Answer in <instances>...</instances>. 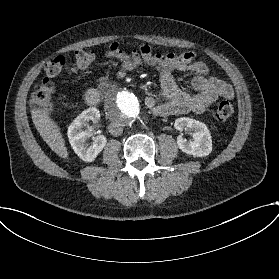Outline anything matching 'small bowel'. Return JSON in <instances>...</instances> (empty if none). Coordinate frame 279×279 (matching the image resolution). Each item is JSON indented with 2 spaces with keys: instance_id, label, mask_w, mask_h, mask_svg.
Returning a JSON list of instances; mask_svg holds the SVG:
<instances>
[{
  "instance_id": "1",
  "label": "small bowel",
  "mask_w": 279,
  "mask_h": 279,
  "mask_svg": "<svg viewBox=\"0 0 279 279\" xmlns=\"http://www.w3.org/2000/svg\"><path fill=\"white\" fill-rule=\"evenodd\" d=\"M106 55L116 59L126 71L142 65L153 67L158 74L161 97H147L146 106L157 116L183 114L189 111L204 112L219 97L229 99L233 89L227 82L208 76L207 64L196 59L194 52L157 53L148 45L124 51L118 43L106 49ZM173 71H191L195 74L191 84L195 93L181 89L174 80Z\"/></svg>"
}]
</instances>
